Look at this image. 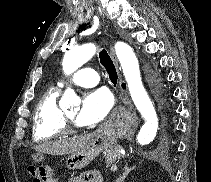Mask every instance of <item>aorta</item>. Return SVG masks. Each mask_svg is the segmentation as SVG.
Segmentation results:
<instances>
[{"label": "aorta", "mask_w": 211, "mask_h": 182, "mask_svg": "<svg viewBox=\"0 0 211 182\" xmlns=\"http://www.w3.org/2000/svg\"><path fill=\"white\" fill-rule=\"evenodd\" d=\"M97 47L93 43L71 49L66 52L63 59V71L66 75L72 74L84 63L90 60L96 53ZM115 53L121 64L124 77L126 79L131 98L145 120L141 127L137 142L140 145H147L156 136L158 130V117L147 92L145 91L139 70V63L133 49L124 42L115 44ZM77 100V95L73 89L67 88L63 94L61 102L71 104Z\"/></svg>", "instance_id": "762f6f07"}]
</instances>
